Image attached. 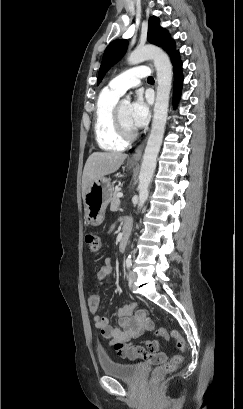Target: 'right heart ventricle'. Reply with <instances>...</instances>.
<instances>
[{"mask_svg": "<svg viewBox=\"0 0 243 409\" xmlns=\"http://www.w3.org/2000/svg\"><path fill=\"white\" fill-rule=\"evenodd\" d=\"M121 94L108 86L99 94L94 122L95 139L99 147L106 151H122L126 142L116 134L113 124V111Z\"/></svg>", "mask_w": 243, "mask_h": 409, "instance_id": "obj_1", "label": "right heart ventricle"}]
</instances>
